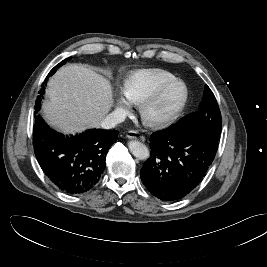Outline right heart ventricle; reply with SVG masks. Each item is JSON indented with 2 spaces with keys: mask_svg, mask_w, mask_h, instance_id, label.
<instances>
[{
  "mask_svg": "<svg viewBox=\"0 0 267 267\" xmlns=\"http://www.w3.org/2000/svg\"><path fill=\"white\" fill-rule=\"evenodd\" d=\"M175 81L177 78L164 70H137L125 77L123 93L129 102L141 104L145 99Z\"/></svg>",
  "mask_w": 267,
  "mask_h": 267,
  "instance_id": "1",
  "label": "right heart ventricle"
}]
</instances>
